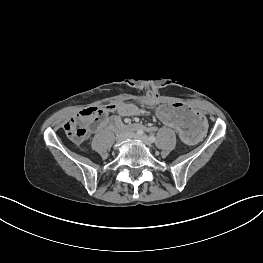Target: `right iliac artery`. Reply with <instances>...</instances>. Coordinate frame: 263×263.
<instances>
[{
    "label": "right iliac artery",
    "instance_id": "obj_1",
    "mask_svg": "<svg viewBox=\"0 0 263 263\" xmlns=\"http://www.w3.org/2000/svg\"><path fill=\"white\" fill-rule=\"evenodd\" d=\"M137 134L138 135H142L143 134V130H137Z\"/></svg>",
    "mask_w": 263,
    "mask_h": 263
}]
</instances>
